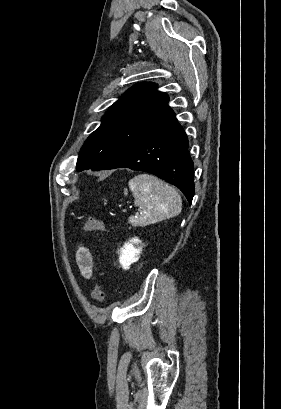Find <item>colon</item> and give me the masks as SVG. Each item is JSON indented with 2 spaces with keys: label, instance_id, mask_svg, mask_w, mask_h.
<instances>
[{
  "label": "colon",
  "instance_id": "1",
  "mask_svg": "<svg viewBox=\"0 0 281 409\" xmlns=\"http://www.w3.org/2000/svg\"><path fill=\"white\" fill-rule=\"evenodd\" d=\"M84 227L88 232H103L105 225L96 217H87L84 219ZM93 299L97 305H101L104 301V289L103 283L100 279H97L93 291Z\"/></svg>",
  "mask_w": 281,
  "mask_h": 409
}]
</instances>
